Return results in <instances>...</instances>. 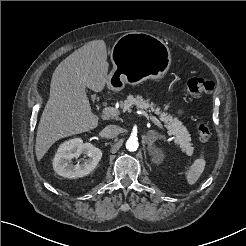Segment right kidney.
Returning <instances> with one entry per match:
<instances>
[{"label":"right kidney","instance_id":"right-kidney-1","mask_svg":"<svg viewBox=\"0 0 246 246\" xmlns=\"http://www.w3.org/2000/svg\"><path fill=\"white\" fill-rule=\"evenodd\" d=\"M80 155L87 157L81 163L73 164L72 159ZM102 157V151L91 143H83L81 138H73L62 143L53 159L55 172L65 178H79L92 172Z\"/></svg>","mask_w":246,"mask_h":246}]
</instances>
